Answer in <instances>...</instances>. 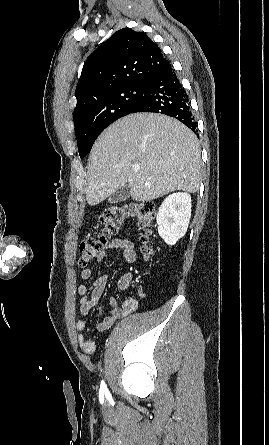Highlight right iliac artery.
<instances>
[{
  "label": "right iliac artery",
  "mask_w": 269,
  "mask_h": 445,
  "mask_svg": "<svg viewBox=\"0 0 269 445\" xmlns=\"http://www.w3.org/2000/svg\"><path fill=\"white\" fill-rule=\"evenodd\" d=\"M100 391H102V392H107L108 391L104 381H101Z\"/></svg>",
  "instance_id": "1"
}]
</instances>
